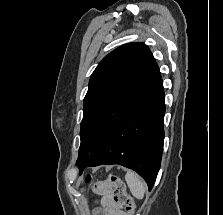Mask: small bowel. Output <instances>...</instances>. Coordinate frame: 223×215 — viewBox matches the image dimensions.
I'll use <instances>...</instances> for the list:
<instances>
[{
    "label": "small bowel",
    "mask_w": 223,
    "mask_h": 215,
    "mask_svg": "<svg viewBox=\"0 0 223 215\" xmlns=\"http://www.w3.org/2000/svg\"><path fill=\"white\" fill-rule=\"evenodd\" d=\"M96 192L102 195L101 204L105 215H126L120 205L112 197V186L108 181L98 182Z\"/></svg>",
    "instance_id": "small-bowel-1"
}]
</instances>
